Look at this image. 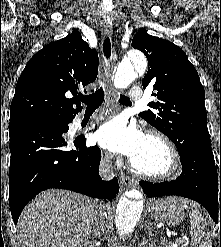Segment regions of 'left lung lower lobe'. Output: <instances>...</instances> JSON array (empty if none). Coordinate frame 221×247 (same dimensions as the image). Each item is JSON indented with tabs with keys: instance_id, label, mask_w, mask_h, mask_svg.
Wrapping results in <instances>:
<instances>
[{
	"instance_id": "obj_1",
	"label": "left lung lower lobe",
	"mask_w": 221,
	"mask_h": 247,
	"mask_svg": "<svg viewBox=\"0 0 221 247\" xmlns=\"http://www.w3.org/2000/svg\"><path fill=\"white\" fill-rule=\"evenodd\" d=\"M181 175L173 181L152 183L140 181L145 194L152 198L177 195L199 202L215 223L221 224V167L215 166L210 138L198 141L180 155Z\"/></svg>"
}]
</instances>
